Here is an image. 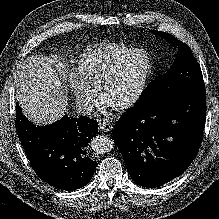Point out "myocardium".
I'll list each match as a JSON object with an SVG mask.
<instances>
[{
  "instance_id": "f54148a6",
  "label": "myocardium",
  "mask_w": 219,
  "mask_h": 219,
  "mask_svg": "<svg viewBox=\"0 0 219 219\" xmlns=\"http://www.w3.org/2000/svg\"><path fill=\"white\" fill-rule=\"evenodd\" d=\"M138 54H144L145 56H147V58L149 60L148 69H147L140 85L138 86L137 90L130 98H128L127 100H125L122 103L110 105V107L115 111H118V112L127 111V110L131 109L132 107H134L140 101V99L143 97L144 93L146 92V90L149 86L150 80L153 76L154 69H155V62H154V59H153L151 53L143 48H134L133 50L129 51L128 53L124 54L119 59H117L111 65V67L107 70V72L104 74V76L102 77V79L99 83L98 90H99L100 97L103 99L104 92H105L106 88L111 83V81L113 80L115 75L118 73V71L121 68V66L123 65V63H125L127 60H129L130 58H132Z\"/></svg>"
}]
</instances>
